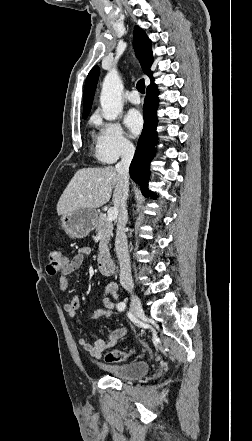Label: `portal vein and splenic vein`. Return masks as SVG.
Instances as JSON below:
<instances>
[{
    "label": "portal vein and splenic vein",
    "instance_id": "18ae733b",
    "mask_svg": "<svg viewBox=\"0 0 252 441\" xmlns=\"http://www.w3.org/2000/svg\"><path fill=\"white\" fill-rule=\"evenodd\" d=\"M118 216V209L117 208H110L107 212V221L112 222L114 221Z\"/></svg>",
    "mask_w": 252,
    "mask_h": 441
}]
</instances>
